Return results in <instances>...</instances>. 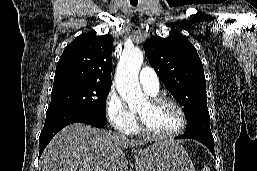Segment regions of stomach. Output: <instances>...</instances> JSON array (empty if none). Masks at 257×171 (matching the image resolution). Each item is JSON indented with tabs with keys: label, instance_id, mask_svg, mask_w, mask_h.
<instances>
[{
	"label": "stomach",
	"instance_id": "0dacf381",
	"mask_svg": "<svg viewBox=\"0 0 257 171\" xmlns=\"http://www.w3.org/2000/svg\"><path fill=\"white\" fill-rule=\"evenodd\" d=\"M136 171H195L186 150L176 141H157L135 150Z\"/></svg>",
	"mask_w": 257,
	"mask_h": 171
}]
</instances>
